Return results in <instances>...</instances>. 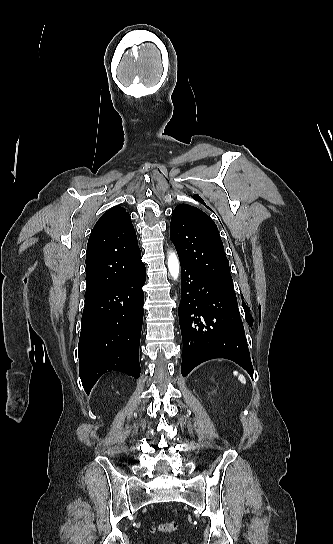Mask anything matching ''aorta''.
<instances>
[{
    "mask_svg": "<svg viewBox=\"0 0 333 544\" xmlns=\"http://www.w3.org/2000/svg\"><path fill=\"white\" fill-rule=\"evenodd\" d=\"M168 269L171 276L177 279L179 275V261L175 253H170L168 256Z\"/></svg>",
    "mask_w": 333,
    "mask_h": 544,
    "instance_id": "762f6f07",
    "label": "aorta"
}]
</instances>
